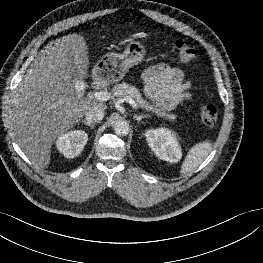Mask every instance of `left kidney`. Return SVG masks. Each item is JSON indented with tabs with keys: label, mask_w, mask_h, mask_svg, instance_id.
Listing matches in <instances>:
<instances>
[{
	"label": "left kidney",
	"mask_w": 263,
	"mask_h": 263,
	"mask_svg": "<svg viewBox=\"0 0 263 263\" xmlns=\"http://www.w3.org/2000/svg\"><path fill=\"white\" fill-rule=\"evenodd\" d=\"M145 137L158 158L170 163L180 160L182 152L173 131L166 128L150 129L146 131Z\"/></svg>",
	"instance_id": "left-kidney-1"
}]
</instances>
